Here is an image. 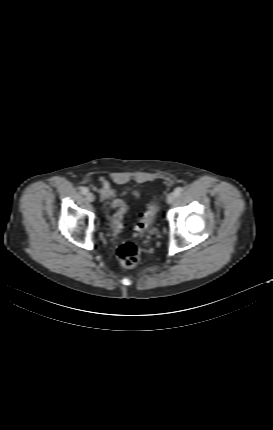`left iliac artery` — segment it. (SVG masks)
Returning a JSON list of instances; mask_svg holds the SVG:
<instances>
[{
    "label": "left iliac artery",
    "instance_id": "1",
    "mask_svg": "<svg viewBox=\"0 0 273 430\" xmlns=\"http://www.w3.org/2000/svg\"><path fill=\"white\" fill-rule=\"evenodd\" d=\"M182 192H183V188L182 187H177L174 190V194H175L176 197L180 196L182 194Z\"/></svg>",
    "mask_w": 273,
    "mask_h": 430
}]
</instances>
